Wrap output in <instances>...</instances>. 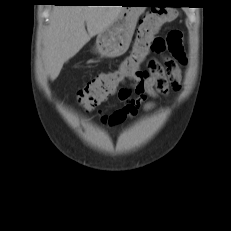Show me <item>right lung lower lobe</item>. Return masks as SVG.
Segmentation results:
<instances>
[{"label": "right lung lower lobe", "mask_w": 231, "mask_h": 231, "mask_svg": "<svg viewBox=\"0 0 231 231\" xmlns=\"http://www.w3.org/2000/svg\"><path fill=\"white\" fill-rule=\"evenodd\" d=\"M58 4H70L72 2H67L65 0H57Z\"/></svg>", "instance_id": "98d812e1"}]
</instances>
